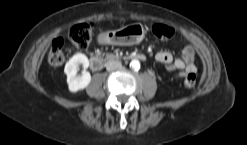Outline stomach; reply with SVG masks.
<instances>
[{"instance_id": "stomach-1", "label": "stomach", "mask_w": 247, "mask_h": 145, "mask_svg": "<svg viewBox=\"0 0 247 145\" xmlns=\"http://www.w3.org/2000/svg\"><path fill=\"white\" fill-rule=\"evenodd\" d=\"M141 24H129L102 34L103 42L112 45L129 46L139 44L145 37Z\"/></svg>"}]
</instances>
